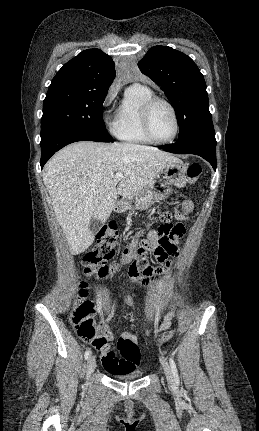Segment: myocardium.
Here are the masks:
<instances>
[{"label":"myocardium","instance_id":"myocardium-1","mask_svg":"<svg viewBox=\"0 0 259 431\" xmlns=\"http://www.w3.org/2000/svg\"><path fill=\"white\" fill-rule=\"evenodd\" d=\"M159 103L165 104L170 109L172 116H173V119H174V125H175L174 132H173L172 136L166 140L157 139L153 135L152 129H151V114H152L154 107ZM141 124H142L143 131H144L145 135L147 136V138L152 143H156V144H169V143L173 142L177 138V136L179 134V129H180L179 118H178V114H177V111H176L174 105L169 100H167L163 97H159V96L151 97L142 106Z\"/></svg>","mask_w":259,"mask_h":431}]
</instances>
